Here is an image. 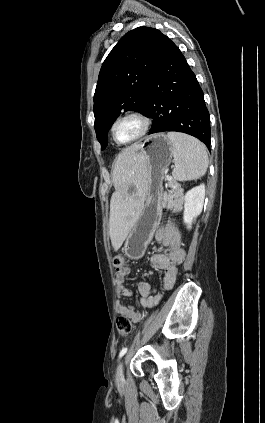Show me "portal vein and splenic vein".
I'll use <instances>...</instances> for the list:
<instances>
[{
	"instance_id": "18ae733b",
	"label": "portal vein and splenic vein",
	"mask_w": 265,
	"mask_h": 423,
	"mask_svg": "<svg viewBox=\"0 0 265 423\" xmlns=\"http://www.w3.org/2000/svg\"><path fill=\"white\" fill-rule=\"evenodd\" d=\"M167 180H168V181H170V180H171V178H168Z\"/></svg>"
}]
</instances>
